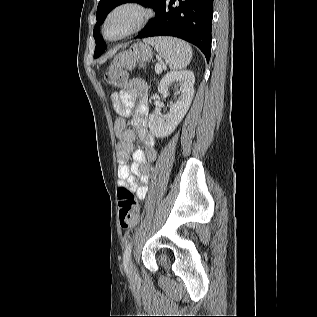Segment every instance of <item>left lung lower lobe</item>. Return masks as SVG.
Returning a JSON list of instances; mask_svg holds the SVG:
<instances>
[{
	"label": "left lung lower lobe",
	"mask_w": 317,
	"mask_h": 317,
	"mask_svg": "<svg viewBox=\"0 0 317 317\" xmlns=\"http://www.w3.org/2000/svg\"><path fill=\"white\" fill-rule=\"evenodd\" d=\"M213 0H162L156 17L138 38L174 36L196 45L209 61Z\"/></svg>",
	"instance_id": "left-lung-lower-lobe-1"
}]
</instances>
